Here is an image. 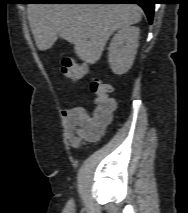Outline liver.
Returning <instances> with one entry per match:
<instances>
[{"mask_svg": "<svg viewBox=\"0 0 188 213\" xmlns=\"http://www.w3.org/2000/svg\"><path fill=\"white\" fill-rule=\"evenodd\" d=\"M27 12L40 51L50 49L60 37L89 64L101 58L116 30L139 23L142 15L136 4H29Z\"/></svg>", "mask_w": 188, "mask_h": 213, "instance_id": "6515ba94", "label": "liver"}]
</instances>
